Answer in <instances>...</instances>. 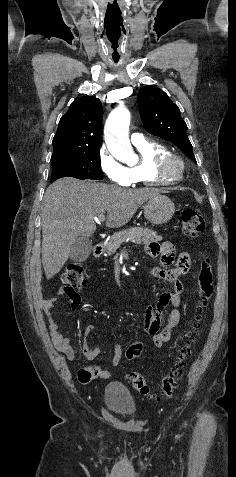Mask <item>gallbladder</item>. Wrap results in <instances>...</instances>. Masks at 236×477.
Listing matches in <instances>:
<instances>
[{"label":"gallbladder","instance_id":"bac80fb5","mask_svg":"<svg viewBox=\"0 0 236 477\" xmlns=\"http://www.w3.org/2000/svg\"><path fill=\"white\" fill-rule=\"evenodd\" d=\"M92 251V241L87 237H79L71 246L70 259L75 262L85 261Z\"/></svg>","mask_w":236,"mask_h":477}]
</instances>
